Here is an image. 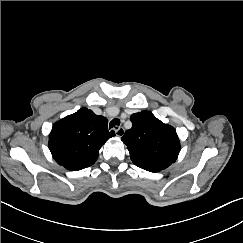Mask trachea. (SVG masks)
I'll return each instance as SVG.
<instances>
[{"label":"trachea","instance_id":"obj_1","mask_svg":"<svg viewBox=\"0 0 243 243\" xmlns=\"http://www.w3.org/2000/svg\"><path fill=\"white\" fill-rule=\"evenodd\" d=\"M119 125H120V120H119L118 118H115V119H113V120L110 122V124H109V128H110V129L113 128V127L117 128V126H119Z\"/></svg>","mask_w":243,"mask_h":243}]
</instances>
